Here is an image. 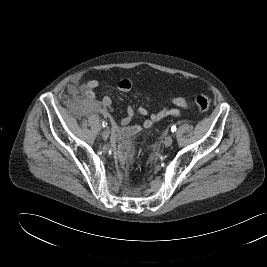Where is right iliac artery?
Masks as SVG:
<instances>
[{
    "label": "right iliac artery",
    "instance_id": "obj_1",
    "mask_svg": "<svg viewBox=\"0 0 267 267\" xmlns=\"http://www.w3.org/2000/svg\"><path fill=\"white\" fill-rule=\"evenodd\" d=\"M102 126H103V127H106V126H107V122H106V121H103V122H102Z\"/></svg>",
    "mask_w": 267,
    "mask_h": 267
}]
</instances>
